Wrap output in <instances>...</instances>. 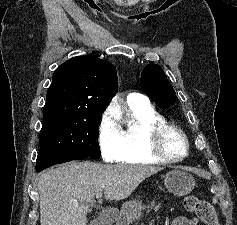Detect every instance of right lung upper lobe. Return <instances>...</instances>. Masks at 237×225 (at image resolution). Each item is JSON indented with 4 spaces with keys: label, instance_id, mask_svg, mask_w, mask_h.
<instances>
[{
    "label": "right lung upper lobe",
    "instance_id": "1",
    "mask_svg": "<svg viewBox=\"0 0 237 225\" xmlns=\"http://www.w3.org/2000/svg\"><path fill=\"white\" fill-rule=\"evenodd\" d=\"M116 90V68L110 62L90 55L71 58L54 71L43 120L102 115L106 99Z\"/></svg>",
    "mask_w": 237,
    "mask_h": 225
}]
</instances>
